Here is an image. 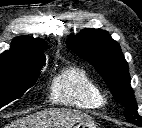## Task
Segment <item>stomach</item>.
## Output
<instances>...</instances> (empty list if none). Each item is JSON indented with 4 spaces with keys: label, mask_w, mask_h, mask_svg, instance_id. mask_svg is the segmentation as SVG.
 Returning <instances> with one entry per match:
<instances>
[{
    "label": "stomach",
    "mask_w": 142,
    "mask_h": 128,
    "mask_svg": "<svg viewBox=\"0 0 142 128\" xmlns=\"http://www.w3.org/2000/svg\"><path fill=\"white\" fill-rule=\"evenodd\" d=\"M73 128H97V125L92 119H87L84 121H80Z\"/></svg>",
    "instance_id": "1"
}]
</instances>
